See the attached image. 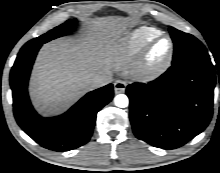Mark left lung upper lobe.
<instances>
[{
  "mask_svg": "<svg viewBox=\"0 0 220 173\" xmlns=\"http://www.w3.org/2000/svg\"><path fill=\"white\" fill-rule=\"evenodd\" d=\"M169 32L174 42L172 64L192 58H209L204 45L194 36L181 32L173 27L169 28Z\"/></svg>",
  "mask_w": 220,
  "mask_h": 173,
  "instance_id": "obj_1",
  "label": "left lung upper lobe"
}]
</instances>
